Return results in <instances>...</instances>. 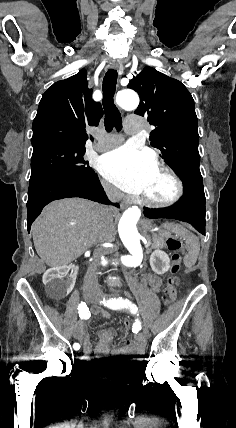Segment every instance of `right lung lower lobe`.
Masks as SVG:
<instances>
[{
	"mask_svg": "<svg viewBox=\"0 0 236 428\" xmlns=\"http://www.w3.org/2000/svg\"><path fill=\"white\" fill-rule=\"evenodd\" d=\"M80 197L110 205L98 176L94 171L76 175L59 174L29 183L27 202L28 232L33 221L41 213L44 206L51 201ZM119 207L118 204H114Z\"/></svg>",
	"mask_w": 236,
	"mask_h": 428,
	"instance_id": "right-lung-lower-lobe-1",
	"label": "right lung lower lobe"
}]
</instances>
